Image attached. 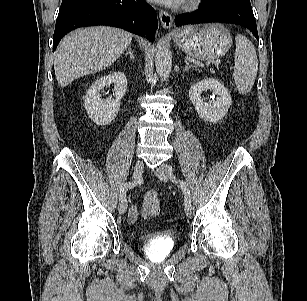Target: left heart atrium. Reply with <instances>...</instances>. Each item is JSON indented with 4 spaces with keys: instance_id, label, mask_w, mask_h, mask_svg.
<instances>
[{
    "instance_id": "1",
    "label": "left heart atrium",
    "mask_w": 307,
    "mask_h": 301,
    "mask_svg": "<svg viewBox=\"0 0 307 301\" xmlns=\"http://www.w3.org/2000/svg\"><path fill=\"white\" fill-rule=\"evenodd\" d=\"M151 1L161 3V4H166V5H172V4L179 3L182 0H151Z\"/></svg>"
}]
</instances>
